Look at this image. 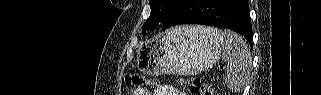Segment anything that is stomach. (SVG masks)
Returning a JSON list of instances; mask_svg holds the SVG:
<instances>
[{"instance_id":"stomach-1","label":"stomach","mask_w":321,"mask_h":95,"mask_svg":"<svg viewBox=\"0 0 321 95\" xmlns=\"http://www.w3.org/2000/svg\"><path fill=\"white\" fill-rule=\"evenodd\" d=\"M224 43L219 31L205 33L192 26L173 28L138 50L136 62L145 74L194 75L217 62Z\"/></svg>"}]
</instances>
